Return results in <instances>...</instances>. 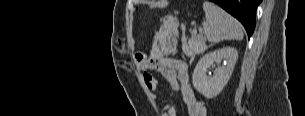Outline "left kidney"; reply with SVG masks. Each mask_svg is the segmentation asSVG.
Here are the masks:
<instances>
[{
    "instance_id": "5707ae66",
    "label": "left kidney",
    "mask_w": 305,
    "mask_h": 116,
    "mask_svg": "<svg viewBox=\"0 0 305 116\" xmlns=\"http://www.w3.org/2000/svg\"><path fill=\"white\" fill-rule=\"evenodd\" d=\"M238 52L232 47L221 49L205 54L197 63L192 74L194 88L207 99L216 97L228 83L234 70ZM214 63L218 64L213 75H207V69ZM221 63H223L221 65Z\"/></svg>"
}]
</instances>
